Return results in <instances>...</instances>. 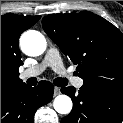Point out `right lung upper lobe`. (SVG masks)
I'll list each match as a JSON object with an SVG mask.
<instances>
[{
    "mask_svg": "<svg viewBox=\"0 0 123 123\" xmlns=\"http://www.w3.org/2000/svg\"><path fill=\"white\" fill-rule=\"evenodd\" d=\"M41 16L5 14L1 16V89H18L24 85L19 79L23 64L18 46L20 35L32 27Z\"/></svg>",
    "mask_w": 123,
    "mask_h": 123,
    "instance_id": "1",
    "label": "right lung upper lobe"
}]
</instances>
